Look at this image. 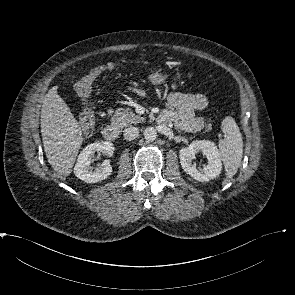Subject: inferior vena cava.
Returning <instances> with one entry per match:
<instances>
[{"mask_svg":"<svg viewBox=\"0 0 295 295\" xmlns=\"http://www.w3.org/2000/svg\"><path fill=\"white\" fill-rule=\"evenodd\" d=\"M139 136V128L137 127H128L124 130V138L126 140H134Z\"/></svg>","mask_w":295,"mask_h":295,"instance_id":"602c4592","label":"inferior vena cava"}]
</instances>
